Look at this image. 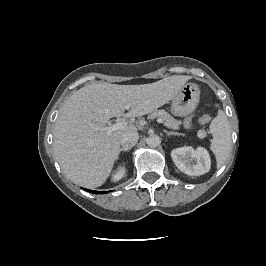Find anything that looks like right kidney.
Returning <instances> with one entry per match:
<instances>
[{
  "instance_id": "ca27d5eb",
  "label": "right kidney",
  "mask_w": 266,
  "mask_h": 266,
  "mask_svg": "<svg viewBox=\"0 0 266 266\" xmlns=\"http://www.w3.org/2000/svg\"><path fill=\"white\" fill-rule=\"evenodd\" d=\"M125 172H126V170H125L124 167H119L117 169V171L112 175V180L114 182H116V181L122 179L124 177V175H125Z\"/></svg>"
}]
</instances>
